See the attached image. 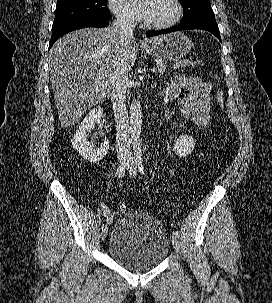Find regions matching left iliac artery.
Listing matches in <instances>:
<instances>
[{
    "label": "left iliac artery",
    "instance_id": "left-iliac-artery-1",
    "mask_svg": "<svg viewBox=\"0 0 272 303\" xmlns=\"http://www.w3.org/2000/svg\"><path fill=\"white\" fill-rule=\"evenodd\" d=\"M134 161H135V164L136 166L138 167V170L139 172L142 174V175H145V172H144V166L142 164V150H141V145L140 143H137L135 146H134ZM173 235L177 236V237H180V233L179 231L175 230L173 232Z\"/></svg>",
    "mask_w": 272,
    "mask_h": 303
}]
</instances>
